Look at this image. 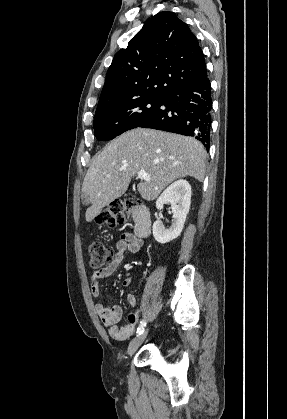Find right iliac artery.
Listing matches in <instances>:
<instances>
[{"instance_id":"right-iliac-artery-1","label":"right iliac artery","mask_w":287,"mask_h":419,"mask_svg":"<svg viewBox=\"0 0 287 419\" xmlns=\"http://www.w3.org/2000/svg\"><path fill=\"white\" fill-rule=\"evenodd\" d=\"M146 326L145 321H141L139 327L137 328V334L140 335L144 332V328Z\"/></svg>"}]
</instances>
